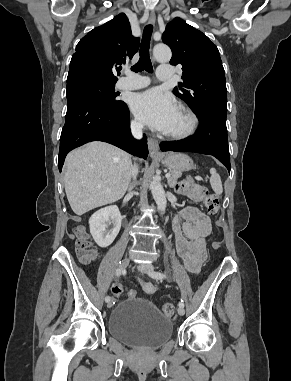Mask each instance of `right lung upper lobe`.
Here are the masks:
<instances>
[{
	"label": "right lung upper lobe",
	"mask_w": 291,
	"mask_h": 381,
	"mask_svg": "<svg viewBox=\"0 0 291 381\" xmlns=\"http://www.w3.org/2000/svg\"><path fill=\"white\" fill-rule=\"evenodd\" d=\"M139 48V38L132 36L124 13L91 30L76 46L67 79L82 77L102 83H116L114 75L126 59Z\"/></svg>",
	"instance_id": "obj_1"
}]
</instances>
